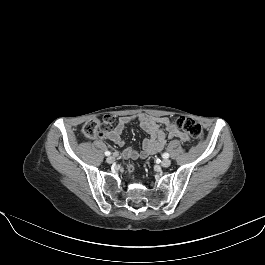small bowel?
<instances>
[{
    "label": "small bowel",
    "instance_id": "1",
    "mask_svg": "<svg viewBox=\"0 0 265 265\" xmlns=\"http://www.w3.org/2000/svg\"><path fill=\"white\" fill-rule=\"evenodd\" d=\"M137 122L149 134L142 142L141 150L129 147L122 152L125 159H144L151 154L161 151L166 140L177 138L182 142H189L187 133L177 128L168 117L153 116L145 113L120 116L116 126L106 134V138L119 147L124 146L122 134L127 124Z\"/></svg>",
    "mask_w": 265,
    "mask_h": 265
}]
</instances>
